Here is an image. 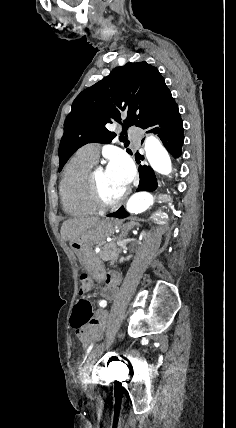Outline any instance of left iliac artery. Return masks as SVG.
<instances>
[{
	"label": "left iliac artery",
	"instance_id": "obj_1",
	"mask_svg": "<svg viewBox=\"0 0 236 428\" xmlns=\"http://www.w3.org/2000/svg\"><path fill=\"white\" fill-rule=\"evenodd\" d=\"M107 304H106V301L105 300H103V301H101L100 302V306H102V307H105ZM92 349V345L89 347V349L87 350V353H89L90 352V350ZM86 359V358H85Z\"/></svg>",
	"mask_w": 236,
	"mask_h": 428
}]
</instances>
